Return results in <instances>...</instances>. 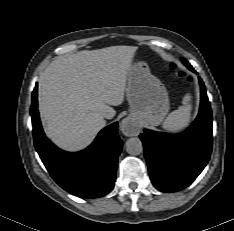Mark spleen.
<instances>
[{
  "label": "spleen",
  "mask_w": 234,
  "mask_h": 231,
  "mask_svg": "<svg viewBox=\"0 0 234 231\" xmlns=\"http://www.w3.org/2000/svg\"><path fill=\"white\" fill-rule=\"evenodd\" d=\"M191 100V94L188 93L184 96L182 101L183 105L170 113L163 122L162 127L165 131L176 133L185 129L190 124L192 111Z\"/></svg>",
  "instance_id": "spleen-1"
}]
</instances>
